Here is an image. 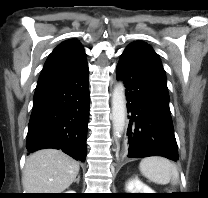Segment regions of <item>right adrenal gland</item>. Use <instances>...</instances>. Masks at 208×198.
Masks as SVG:
<instances>
[{
    "label": "right adrenal gland",
    "mask_w": 208,
    "mask_h": 198,
    "mask_svg": "<svg viewBox=\"0 0 208 198\" xmlns=\"http://www.w3.org/2000/svg\"><path fill=\"white\" fill-rule=\"evenodd\" d=\"M77 183H79L80 181V175L78 176V178L75 180Z\"/></svg>",
    "instance_id": "1"
}]
</instances>
